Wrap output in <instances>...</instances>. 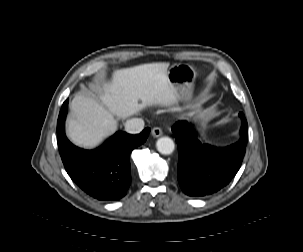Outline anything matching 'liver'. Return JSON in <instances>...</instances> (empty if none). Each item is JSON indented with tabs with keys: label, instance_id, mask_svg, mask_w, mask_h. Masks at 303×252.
Segmentation results:
<instances>
[{
	"label": "liver",
	"instance_id": "obj_1",
	"mask_svg": "<svg viewBox=\"0 0 303 252\" xmlns=\"http://www.w3.org/2000/svg\"><path fill=\"white\" fill-rule=\"evenodd\" d=\"M169 63H149L118 69L111 81H103L96 90L99 100L76 95L71 102L73 115L67 122L70 140L85 148L99 145L117 130L120 119L154 106H171L176 95L167 79Z\"/></svg>",
	"mask_w": 303,
	"mask_h": 252
}]
</instances>
